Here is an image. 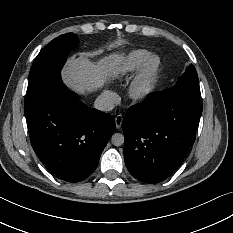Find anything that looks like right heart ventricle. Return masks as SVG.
<instances>
[{"mask_svg": "<svg viewBox=\"0 0 233 233\" xmlns=\"http://www.w3.org/2000/svg\"><path fill=\"white\" fill-rule=\"evenodd\" d=\"M152 56V52L146 49H137L123 56L115 71V75L120 80L126 81L134 77Z\"/></svg>", "mask_w": 233, "mask_h": 233, "instance_id": "1", "label": "right heart ventricle"}]
</instances>
